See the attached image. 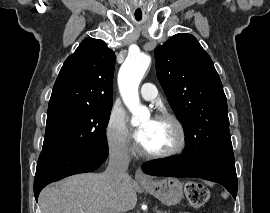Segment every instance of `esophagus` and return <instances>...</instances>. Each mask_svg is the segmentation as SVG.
Segmentation results:
<instances>
[{
	"mask_svg": "<svg viewBox=\"0 0 270 213\" xmlns=\"http://www.w3.org/2000/svg\"><path fill=\"white\" fill-rule=\"evenodd\" d=\"M135 179L138 182H149L150 178L143 173V171L141 170V168H138L135 172Z\"/></svg>",
	"mask_w": 270,
	"mask_h": 213,
	"instance_id": "1",
	"label": "esophagus"
}]
</instances>
